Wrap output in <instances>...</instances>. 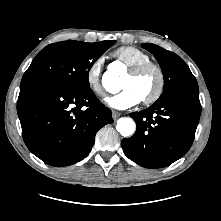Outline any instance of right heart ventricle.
Here are the masks:
<instances>
[{
	"mask_svg": "<svg viewBox=\"0 0 221 221\" xmlns=\"http://www.w3.org/2000/svg\"><path fill=\"white\" fill-rule=\"evenodd\" d=\"M112 55L129 68L150 60L148 53L140 48L130 45L117 48L113 51Z\"/></svg>",
	"mask_w": 221,
	"mask_h": 221,
	"instance_id": "e07e8e85",
	"label": "right heart ventricle"
}]
</instances>
